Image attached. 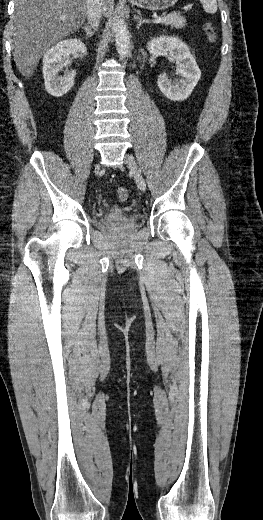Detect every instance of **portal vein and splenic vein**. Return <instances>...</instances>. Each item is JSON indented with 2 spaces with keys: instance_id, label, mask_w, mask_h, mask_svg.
<instances>
[{
  "instance_id": "18ae733b",
  "label": "portal vein and splenic vein",
  "mask_w": 263,
  "mask_h": 520,
  "mask_svg": "<svg viewBox=\"0 0 263 520\" xmlns=\"http://www.w3.org/2000/svg\"><path fill=\"white\" fill-rule=\"evenodd\" d=\"M62 18L65 19L66 17L63 16ZM163 18H164V17H162V16L156 17V19H154L153 22H154V23H160V22L163 20Z\"/></svg>"
}]
</instances>
